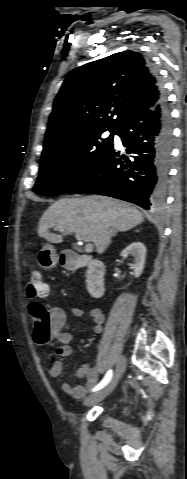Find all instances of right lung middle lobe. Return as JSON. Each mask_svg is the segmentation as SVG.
<instances>
[{"label": "right lung middle lobe", "mask_w": 187, "mask_h": 479, "mask_svg": "<svg viewBox=\"0 0 187 479\" xmlns=\"http://www.w3.org/2000/svg\"><path fill=\"white\" fill-rule=\"evenodd\" d=\"M110 131L109 137L104 132ZM117 129L81 132L44 147L34 191L59 195L80 181L113 147Z\"/></svg>", "instance_id": "right-lung-middle-lobe-1"}]
</instances>
